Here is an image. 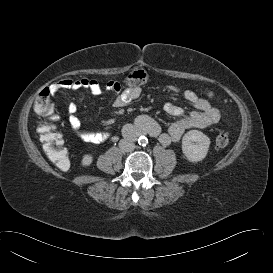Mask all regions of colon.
<instances>
[{
    "label": "colon",
    "mask_w": 273,
    "mask_h": 273,
    "mask_svg": "<svg viewBox=\"0 0 273 273\" xmlns=\"http://www.w3.org/2000/svg\"><path fill=\"white\" fill-rule=\"evenodd\" d=\"M147 80L148 75L145 71L135 70L126 76L125 83L129 86H136L145 83ZM56 87H58V84L55 86L46 87L38 95L35 102V110L39 115L49 117L54 116V108L49 96ZM208 94L210 95V93ZM37 131L40 136L43 150L47 157L55 162L61 170H67L69 167L67 151L63 147L62 136L56 131L55 125L53 123H45L40 125ZM215 141L218 147L224 148L229 144V136L227 134L220 133L217 135Z\"/></svg>",
    "instance_id": "1"
}]
</instances>
